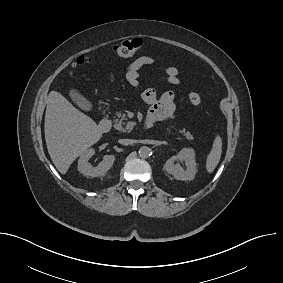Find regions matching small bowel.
Returning <instances> with one entry per match:
<instances>
[{"mask_svg": "<svg viewBox=\"0 0 283 283\" xmlns=\"http://www.w3.org/2000/svg\"><path fill=\"white\" fill-rule=\"evenodd\" d=\"M155 58L152 56H140L130 63L126 69L125 77L128 83L134 87L139 86L141 69L145 66L152 65ZM163 79L172 85L180 83L179 71L176 67H162ZM142 99L150 106L147 120L152 124L155 122L166 121L174 117L175 113V96L171 91L158 93L154 88H148L143 91Z\"/></svg>", "mask_w": 283, "mask_h": 283, "instance_id": "obj_1", "label": "small bowel"}]
</instances>
